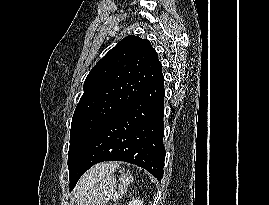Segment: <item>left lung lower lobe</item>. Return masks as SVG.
Wrapping results in <instances>:
<instances>
[{
  "label": "left lung lower lobe",
  "instance_id": "1",
  "mask_svg": "<svg viewBox=\"0 0 269 205\" xmlns=\"http://www.w3.org/2000/svg\"><path fill=\"white\" fill-rule=\"evenodd\" d=\"M164 78L156 77L97 134L70 176V190L93 165L125 161L149 171L160 181L165 160Z\"/></svg>",
  "mask_w": 269,
  "mask_h": 205
}]
</instances>
